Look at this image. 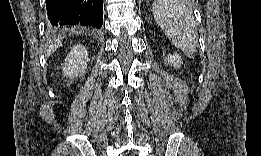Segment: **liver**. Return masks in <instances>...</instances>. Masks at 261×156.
Masks as SVG:
<instances>
[{
  "label": "liver",
  "instance_id": "1",
  "mask_svg": "<svg viewBox=\"0 0 261 156\" xmlns=\"http://www.w3.org/2000/svg\"><path fill=\"white\" fill-rule=\"evenodd\" d=\"M61 38L49 41L46 49V56L49 57L61 45Z\"/></svg>",
  "mask_w": 261,
  "mask_h": 156
}]
</instances>
